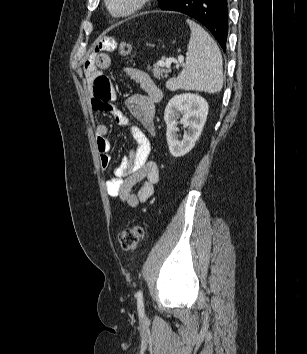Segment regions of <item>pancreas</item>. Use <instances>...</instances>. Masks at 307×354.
Instances as JSON below:
<instances>
[{
    "label": "pancreas",
    "mask_w": 307,
    "mask_h": 354,
    "mask_svg": "<svg viewBox=\"0 0 307 354\" xmlns=\"http://www.w3.org/2000/svg\"><path fill=\"white\" fill-rule=\"evenodd\" d=\"M170 70L168 68H165V66L159 65V63H156L154 65V68L152 69L153 76L157 79L162 78H167Z\"/></svg>",
    "instance_id": "obj_1"
}]
</instances>
